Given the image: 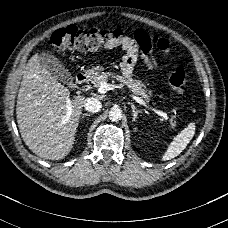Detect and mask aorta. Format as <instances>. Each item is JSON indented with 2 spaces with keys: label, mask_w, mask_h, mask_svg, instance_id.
<instances>
[{
  "label": "aorta",
  "mask_w": 228,
  "mask_h": 228,
  "mask_svg": "<svg viewBox=\"0 0 228 228\" xmlns=\"http://www.w3.org/2000/svg\"><path fill=\"white\" fill-rule=\"evenodd\" d=\"M109 119L110 121L112 122H118L122 119L123 117V113H122V110L119 109V108H115V109H111L109 111Z\"/></svg>",
  "instance_id": "aorta-1"
}]
</instances>
